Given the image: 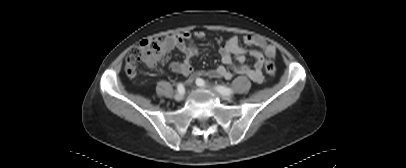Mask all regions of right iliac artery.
I'll return each mask as SVG.
<instances>
[{"label": "right iliac artery", "instance_id": "1", "mask_svg": "<svg viewBox=\"0 0 406 168\" xmlns=\"http://www.w3.org/2000/svg\"><path fill=\"white\" fill-rule=\"evenodd\" d=\"M177 90H178L179 93H184L185 88H184V86H183L182 83H179V84L177 85Z\"/></svg>", "mask_w": 406, "mask_h": 168}]
</instances>
